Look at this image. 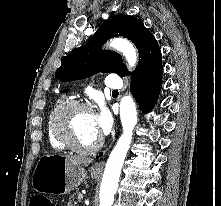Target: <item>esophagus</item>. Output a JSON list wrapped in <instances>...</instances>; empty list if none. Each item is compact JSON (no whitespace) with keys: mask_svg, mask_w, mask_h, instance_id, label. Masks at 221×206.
Segmentation results:
<instances>
[{"mask_svg":"<svg viewBox=\"0 0 221 206\" xmlns=\"http://www.w3.org/2000/svg\"><path fill=\"white\" fill-rule=\"evenodd\" d=\"M104 168V162H99L95 165V170H102Z\"/></svg>","mask_w":221,"mask_h":206,"instance_id":"34e87169","label":"esophagus"}]
</instances>
